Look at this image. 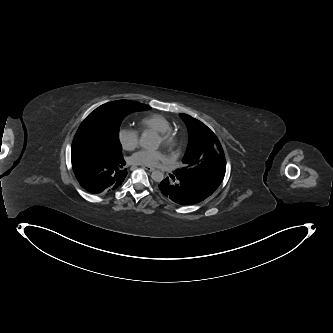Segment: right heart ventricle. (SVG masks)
<instances>
[{
    "label": "right heart ventricle",
    "mask_w": 333,
    "mask_h": 333,
    "mask_svg": "<svg viewBox=\"0 0 333 333\" xmlns=\"http://www.w3.org/2000/svg\"><path fill=\"white\" fill-rule=\"evenodd\" d=\"M138 128L141 131H145L147 129H151L156 132L167 131L171 130V124L164 116L160 114H151L139 119Z\"/></svg>",
    "instance_id": "right-heart-ventricle-1"
}]
</instances>
